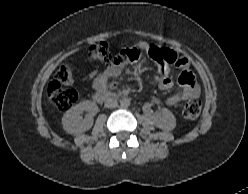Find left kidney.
<instances>
[{"label": "left kidney", "instance_id": "5707ae66", "mask_svg": "<svg viewBox=\"0 0 248 194\" xmlns=\"http://www.w3.org/2000/svg\"><path fill=\"white\" fill-rule=\"evenodd\" d=\"M154 125L164 131H171L176 126V120L172 112L163 109L161 115L154 116Z\"/></svg>", "mask_w": 248, "mask_h": 194}]
</instances>
